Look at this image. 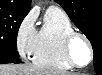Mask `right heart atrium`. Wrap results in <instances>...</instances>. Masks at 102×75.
<instances>
[{
    "label": "right heart atrium",
    "instance_id": "1",
    "mask_svg": "<svg viewBox=\"0 0 102 75\" xmlns=\"http://www.w3.org/2000/svg\"><path fill=\"white\" fill-rule=\"evenodd\" d=\"M35 15L28 13L18 25L16 31V45L19 53L27 58L34 50L36 39Z\"/></svg>",
    "mask_w": 102,
    "mask_h": 75
}]
</instances>
